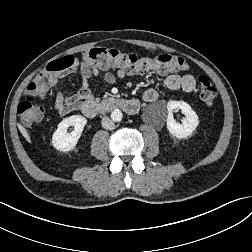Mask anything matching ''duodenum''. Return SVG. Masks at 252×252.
Here are the masks:
<instances>
[{
	"label": "duodenum",
	"mask_w": 252,
	"mask_h": 252,
	"mask_svg": "<svg viewBox=\"0 0 252 252\" xmlns=\"http://www.w3.org/2000/svg\"><path fill=\"white\" fill-rule=\"evenodd\" d=\"M140 102L137 99H108L103 102L87 101L82 105V112L88 117H94L115 108H121L128 114L138 112Z\"/></svg>",
	"instance_id": "obj_1"
}]
</instances>
